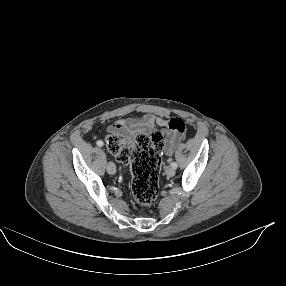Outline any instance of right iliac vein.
<instances>
[{
  "mask_svg": "<svg viewBox=\"0 0 286 286\" xmlns=\"http://www.w3.org/2000/svg\"><path fill=\"white\" fill-rule=\"evenodd\" d=\"M107 172L111 175L116 173V166L113 162H109L107 164Z\"/></svg>",
  "mask_w": 286,
  "mask_h": 286,
  "instance_id": "63e3f726",
  "label": "right iliac vein"
}]
</instances>
